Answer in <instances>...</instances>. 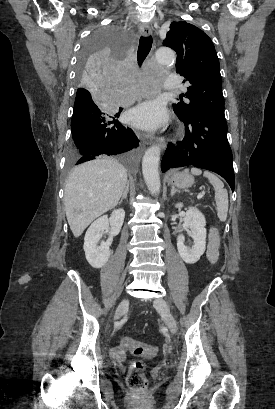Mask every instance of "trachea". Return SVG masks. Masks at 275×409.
Wrapping results in <instances>:
<instances>
[{"label":"trachea","mask_w":275,"mask_h":409,"mask_svg":"<svg viewBox=\"0 0 275 409\" xmlns=\"http://www.w3.org/2000/svg\"><path fill=\"white\" fill-rule=\"evenodd\" d=\"M153 39L150 36L148 37H140L139 40V46H138V51H137V60L139 66L142 65V62L145 60L147 55L149 54L151 47H152Z\"/></svg>","instance_id":"3493384b"}]
</instances>
